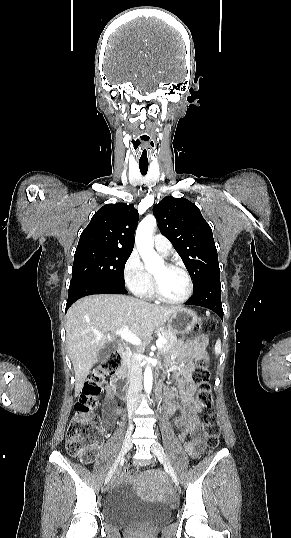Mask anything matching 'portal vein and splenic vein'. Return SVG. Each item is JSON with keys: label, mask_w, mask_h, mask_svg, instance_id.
Here are the masks:
<instances>
[{"label": "portal vein and splenic vein", "mask_w": 291, "mask_h": 538, "mask_svg": "<svg viewBox=\"0 0 291 538\" xmlns=\"http://www.w3.org/2000/svg\"><path fill=\"white\" fill-rule=\"evenodd\" d=\"M95 335L97 336H101V334L94 330L93 331ZM114 334L116 335H119L123 340L133 344V345H141L142 344V341L139 337H137L135 334L131 333L129 331V329L127 327H124V328H121V329H118L116 331L113 332ZM167 340L161 336L158 337V339L156 340V346L159 348L161 347L164 343H166Z\"/></svg>", "instance_id": "portal-vein-and-splenic-vein-1"}]
</instances>
